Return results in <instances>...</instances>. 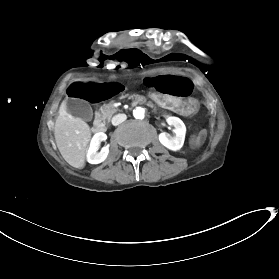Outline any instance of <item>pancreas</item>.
Segmentation results:
<instances>
[{"label": "pancreas", "mask_w": 279, "mask_h": 279, "mask_svg": "<svg viewBox=\"0 0 279 279\" xmlns=\"http://www.w3.org/2000/svg\"><path fill=\"white\" fill-rule=\"evenodd\" d=\"M123 97H127L126 95H124ZM129 98L133 101V102H138L141 103L144 106L150 105V107H154V104H150V102L143 98L142 96L133 94L132 96H129ZM114 100H112L111 102H109L108 104H104L101 108V118L103 120H110L112 115L116 112L119 111V109L117 107H114ZM155 112L160 113V110L157 109V107H154Z\"/></svg>", "instance_id": "obj_1"}]
</instances>
